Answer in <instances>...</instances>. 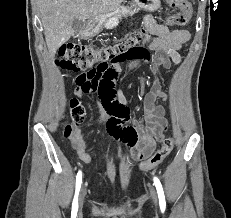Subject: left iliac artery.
Segmentation results:
<instances>
[{"instance_id": "44dca946", "label": "left iliac artery", "mask_w": 231, "mask_h": 218, "mask_svg": "<svg viewBox=\"0 0 231 218\" xmlns=\"http://www.w3.org/2000/svg\"><path fill=\"white\" fill-rule=\"evenodd\" d=\"M154 184L157 189L161 211L164 212L166 208L165 196H164L162 185L157 177H154Z\"/></svg>"}]
</instances>
